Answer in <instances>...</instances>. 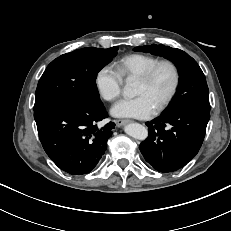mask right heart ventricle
<instances>
[{"label":"right heart ventricle","instance_id":"right-heart-ventricle-1","mask_svg":"<svg viewBox=\"0 0 231 231\" xmlns=\"http://www.w3.org/2000/svg\"><path fill=\"white\" fill-rule=\"evenodd\" d=\"M158 61L159 59L153 55L133 53L119 59L115 63V69L122 78H138Z\"/></svg>","mask_w":231,"mask_h":231}]
</instances>
